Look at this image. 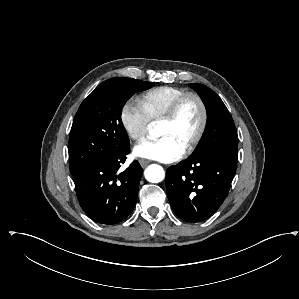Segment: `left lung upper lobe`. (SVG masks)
<instances>
[{
	"label": "left lung upper lobe",
	"instance_id": "obj_1",
	"mask_svg": "<svg viewBox=\"0 0 299 299\" xmlns=\"http://www.w3.org/2000/svg\"><path fill=\"white\" fill-rule=\"evenodd\" d=\"M203 100L208 116L206 133L194 153L188 159L219 153L234 159L238 157V135L234 121L220 97L210 88L191 83Z\"/></svg>",
	"mask_w": 299,
	"mask_h": 299
}]
</instances>
